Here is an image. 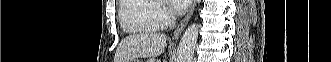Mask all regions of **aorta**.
<instances>
[{"instance_id": "1", "label": "aorta", "mask_w": 331, "mask_h": 62, "mask_svg": "<svg viewBox=\"0 0 331 62\" xmlns=\"http://www.w3.org/2000/svg\"><path fill=\"white\" fill-rule=\"evenodd\" d=\"M198 39V25L192 24L184 32L177 50L176 62H192Z\"/></svg>"}]
</instances>
